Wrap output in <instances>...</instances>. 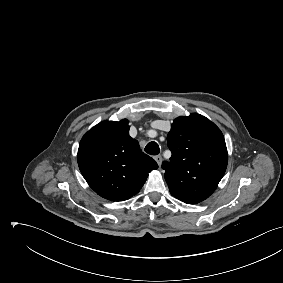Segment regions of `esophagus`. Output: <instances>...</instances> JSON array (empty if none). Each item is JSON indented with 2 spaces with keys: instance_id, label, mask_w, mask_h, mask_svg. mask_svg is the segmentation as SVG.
<instances>
[{
  "instance_id": "1",
  "label": "esophagus",
  "mask_w": 283,
  "mask_h": 283,
  "mask_svg": "<svg viewBox=\"0 0 283 283\" xmlns=\"http://www.w3.org/2000/svg\"><path fill=\"white\" fill-rule=\"evenodd\" d=\"M155 160L158 163V165L161 166L163 160L162 156L161 155L155 156Z\"/></svg>"
}]
</instances>
